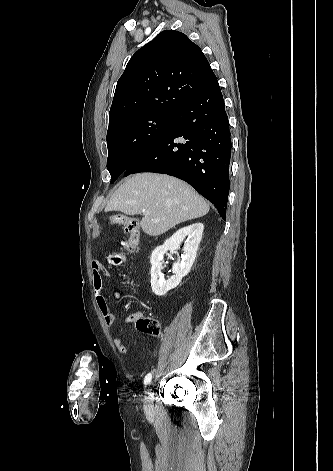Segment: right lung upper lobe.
Segmentation results:
<instances>
[{
	"label": "right lung upper lobe",
	"mask_w": 333,
	"mask_h": 471,
	"mask_svg": "<svg viewBox=\"0 0 333 471\" xmlns=\"http://www.w3.org/2000/svg\"><path fill=\"white\" fill-rule=\"evenodd\" d=\"M216 82L195 43L181 32L162 31L129 60L117 82L109 125L144 111L176 113Z\"/></svg>",
	"instance_id": "cb5924a9"
}]
</instances>
